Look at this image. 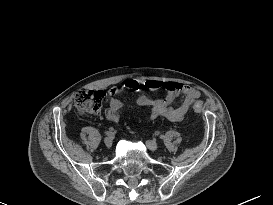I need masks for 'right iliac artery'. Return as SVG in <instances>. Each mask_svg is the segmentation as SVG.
<instances>
[{
  "label": "right iliac artery",
  "mask_w": 273,
  "mask_h": 205,
  "mask_svg": "<svg viewBox=\"0 0 273 205\" xmlns=\"http://www.w3.org/2000/svg\"><path fill=\"white\" fill-rule=\"evenodd\" d=\"M105 134H106L107 136H113L115 133L112 132V131H106Z\"/></svg>",
  "instance_id": "obj_1"
}]
</instances>
